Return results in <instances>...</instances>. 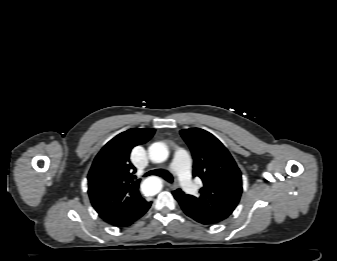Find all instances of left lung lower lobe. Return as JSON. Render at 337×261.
Listing matches in <instances>:
<instances>
[{
  "label": "left lung lower lobe",
  "instance_id": "1",
  "mask_svg": "<svg viewBox=\"0 0 337 261\" xmlns=\"http://www.w3.org/2000/svg\"><path fill=\"white\" fill-rule=\"evenodd\" d=\"M173 195L175 197V199L178 201V194L176 192L173 191ZM181 205V208L182 210L184 211V213L192 218L193 220H195L196 222L202 224V225H214V224H217V222H215L214 220H211L205 216H203L202 214L192 210L191 208L183 205V204H180Z\"/></svg>",
  "mask_w": 337,
  "mask_h": 261
}]
</instances>
